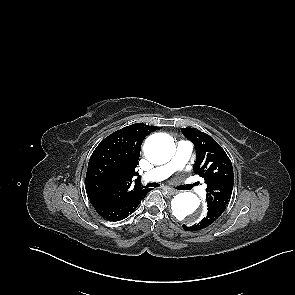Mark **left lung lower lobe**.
Masks as SVG:
<instances>
[{
  "instance_id": "0a47b994",
  "label": "left lung lower lobe",
  "mask_w": 295,
  "mask_h": 295,
  "mask_svg": "<svg viewBox=\"0 0 295 295\" xmlns=\"http://www.w3.org/2000/svg\"><path fill=\"white\" fill-rule=\"evenodd\" d=\"M226 209V205L217 204V203H208L207 204V215L198 223L192 226L183 225V229L186 231H197L211 225L215 220Z\"/></svg>"
}]
</instances>
